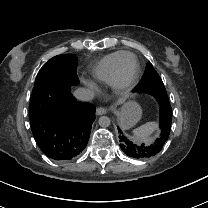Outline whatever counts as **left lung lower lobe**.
Listing matches in <instances>:
<instances>
[{"label":"left lung lower lobe","instance_id":"1","mask_svg":"<svg viewBox=\"0 0 208 208\" xmlns=\"http://www.w3.org/2000/svg\"><path fill=\"white\" fill-rule=\"evenodd\" d=\"M159 107H160V121L159 127L161 129V136L157 138L155 141L149 144H135L131 140L127 139L120 128L119 131V138H120V147L122 151L129 157L135 159H147L153 157L157 153H159L164 144L166 143L169 134H170V127L172 121V108L170 106L169 100H163L160 98H156Z\"/></svg>","mask_w":208,"mask_h":208}]
</instances>
